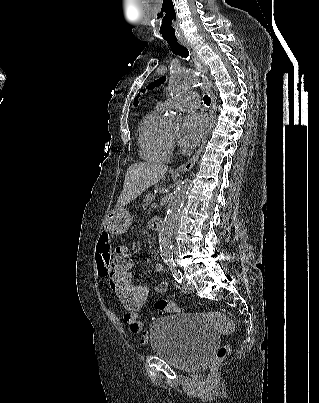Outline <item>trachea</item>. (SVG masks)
<instances>
[{"label": "trachea", "mask_w": 319, "mask_h": 403, "mask_svg": "<svg viewBox=\"0 0 319 403\" xmlns=\"http://www.w3.org/2000/svg\"><path fill=\"white\" fill-rule=\"evenodd\" d=\"M161 30L163 32V38L167 41V43L169 44V46L174 54L179 55L181 57L189 56V51L187 50V48L182 46L177 41V38L175 35V30L172 26V20L163 21ZM203 99H204V103L207 106L210 105L211 99L209 96L205 95Z\"/></svg>", "instance_id": "trachea-1"}]
</instances>
